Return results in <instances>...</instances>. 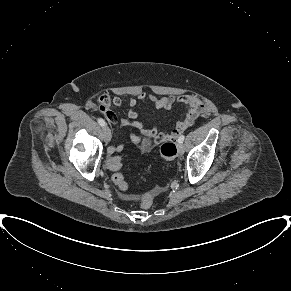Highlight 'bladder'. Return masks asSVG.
<instances>
[{
    "instance_id": "1",
    "label": "bladder",
    "mask_w": 291,
    "mask_h": 291,
    "mask_svg": "<svg viewBox=\"0 0 291 291\" xmlns=\"http://www.w3.org/2000/svg\"><path fill=\"white\" fill-rule=\"evenodd\" d=\"M139 149L142 151V152H145V151H148L151 149V142L148 141V140H143L140 145H139Z\"/></svg>"
}]
</instances>
